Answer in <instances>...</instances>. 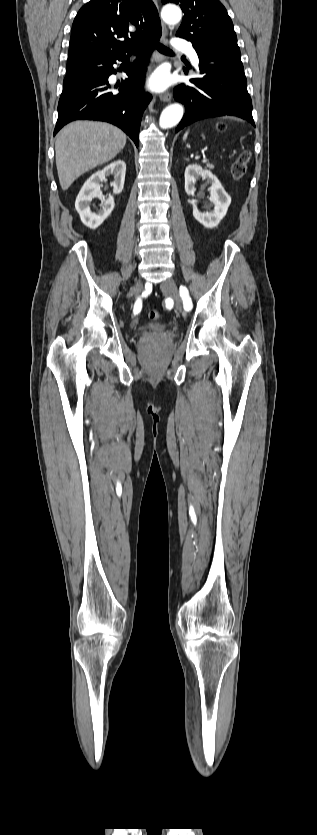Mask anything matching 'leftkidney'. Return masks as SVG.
<instances>
[{
  "mask_svg": "<svg viewBox=\"0 0 317 835\" xmlns=\"http://www.w3.org/2000/svg\"><path fill=\"white\" fill-rule=\"evenodd\" d=\"M185 191L190 196H194L196 191V181L202 178L206 179L208 184H211L210 204L205 206L207 211H200L197 207L198 200H191L193 206V217L206 228L216 227L220 221L225 217L228 207L231 204V197L224 190L223 186L217 177L210 170H203L198 164H190L185 169ZM213 207V209H212Z\"/></svg>",
  "mask_w": 317,
  "mask_h": 835,
  "instance_id": "left-kidney-1",
  "label": "left kidney"
}]
</instances>
